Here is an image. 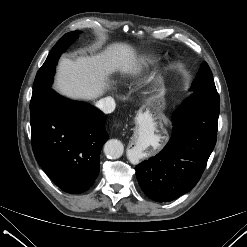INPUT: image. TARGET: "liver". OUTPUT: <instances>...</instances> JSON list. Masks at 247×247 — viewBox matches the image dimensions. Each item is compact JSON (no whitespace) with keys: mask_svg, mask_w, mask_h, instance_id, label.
Wrapping results in <instances>:
<instances>
[{"mask_svg":"<svg viewBox=\"0 0 247 247\" xmlns=\"http://www.w3.org/2000/svg\"><path fill=\"white\" fill-rule=\"evenodd\" d=\"M138 62L132 47L124 43H114L97 55L62 58L54 89L71 99L95 100L110 88V74H135Z\"/></svg>","mask_w":247,"mask_h":247,"instance_id":"liver-1","label":"liver"}]
</instances>
